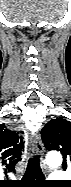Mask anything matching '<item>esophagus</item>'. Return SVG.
<instances>
[{
  "label": "esophagus",
  "instance_id": "obj_1",
  "mask_svg": "<svg viewBox=\"0 0 71 187\" xmlns=\"http://www.w3.org/2000/svg\"><path fill=\"white\" fill-rule=\"evenodd\" d=\"M31 151L35 155H43L44 153V146L39 134H36L31 140ZM42 165L45 167V163L43 160Z\"/></svg>",
  "mask_w": 71,
  "mask_h": 187
}]
</instances>
